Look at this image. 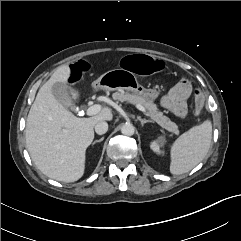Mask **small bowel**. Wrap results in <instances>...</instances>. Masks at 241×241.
<instances>
[{"label":"small bowel","mask_w":241,"mask_h":241,"mask_svg":"<svg viewBox=\"0 0 241 241\" xmlns=\"http://www.w3.org/2000/svg\"><path fill=\"white\" fill-rule=\"evenodd\" d=\"M192 92L193 87L190 80L182 78L168 94L162 96L161 104L176 117L185 118L187 101Z\"/></svg>","instance_id":"c3829d8e"}]
</instances>
